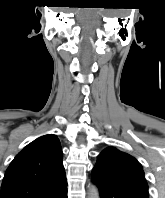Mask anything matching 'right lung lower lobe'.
Wrapping results in <instances>:
<instances>
[{"instance_id":"right-lung-lower-lobe-1","label":"right lung lower lobe","mask_w":165,"mask_h":198,"mask_svg":"<svg viewBox=\"0 0 165 198\" xmlns=\"http://www.w3.org/2000/svg\"><path fill=\"white\" fill-rule=\"evenodd\" d=\"M57 198H67V189L61 193L59 196H57Z\"/></svg>"}]
</instances>
